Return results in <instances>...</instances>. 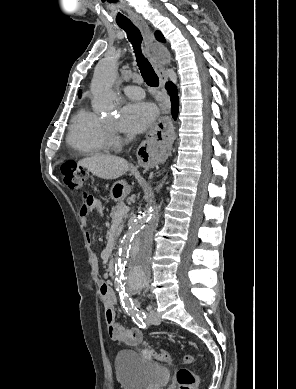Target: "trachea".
<instances>
[{
    "label": "trachea",
    "mask_w": 296,
    "mask_h": 389,
    "mask_svg": "<svg viewBox=\"0 0 296 389\" xmlns=\"http://www.w3.org/2000/svg\"><path fill=\"white\" fill-rule=\"evenodd\" d=\"M119 27L126 32L127 38L134 48L137 66L139 67L144 81L151 87H158L159 78L155 73L152 65L148 59L144 57L141 51L142 35L140 30L132 22L119 24Z\"/></svg>",
    "instance_id": "3493384b"
}]
</instances>
